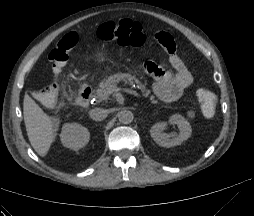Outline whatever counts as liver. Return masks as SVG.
<instances>
[{"instance_id": "obj_1", "label": "liver", "mask_w": 254, "mask_h": 216, "mask_svg": "<svg viewBox=\"0 0 254 216\" xmlns=\"http://www.w3.org/2000/svg\"><path fill=\"white\" fill-rule=\"evenodd\" d=\"M23 115L29 141L34 150L42 157L46 156L55 140L59 119L47 115L29 96H24Z\"/></svg>"}]
</instances>
